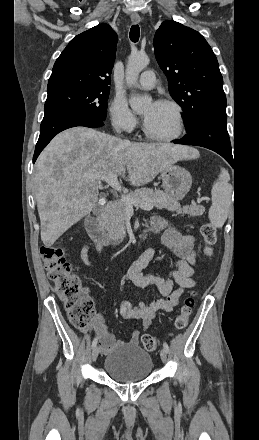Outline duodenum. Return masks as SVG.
Listing matches in <instances>:
<instances>
[{"mask_svg":"<svg viewBox=\"0 0 259 440\" xmlns=\"http://www.w3.org/2000/svg\"><path fill=\"white\" fill-rule=\"evenodd\" d=\"M111 206L112 202L109 201L97 212L88 215L86 218V229L90 236L96 242L107 246L116 245L124 240V236L121 234L109 233L104 227V219ZM158 229V223L151 219L146 227L137 235V240H145Z\"/></svg>","mask_w":259,"mask_h":440,"instance_id":"duodenum-1","label":"duodenum"}]
</instances>
